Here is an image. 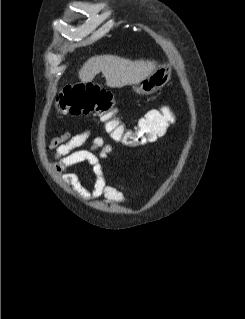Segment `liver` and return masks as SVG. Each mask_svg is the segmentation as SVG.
Returning a JSON list of instances; mask_svg holds the SVG:
<instances>
[{
	"label": "liver",
	"instance_id": "liver-1",
	"mask_svg": "<svg viewBox=\"0 0 245 319\" xmlns=\"http://www.w3.org/2000/svg\"><path fill=\"white\" fill-rule=\"evenodd\" d=\"M156 65L157 62L151 60L132 61L115 55L93 56L79 70V79L81 82H90L102 72L107 86L122 88L147 77Z\"/></svg>",
	"mask_w": 245,
	"mask_h": 319
}]
</instances>
